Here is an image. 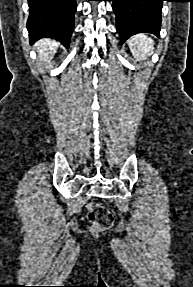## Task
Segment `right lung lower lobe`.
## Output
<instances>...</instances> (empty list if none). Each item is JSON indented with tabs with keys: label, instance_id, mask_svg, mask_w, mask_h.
Listing matches in <instances>:
<instances>
[{
	"label": "right lung lower lobe",
	"instance_id": "right-lung-lower-lobe-1",
	"mask_svg": "<svg viewBox=\"0 0 193 287\" xmlns=\"http://www.w3.org/2000/svg\"><path fill=\"white\" fill-rule=\"evenodd\" d=\"M28 4L30 42L50 37L68 48L74 28L76 0H28Z\"/></svg>",
	"mask_w": 193,
	"mask_h": 287
}]
</instances>
